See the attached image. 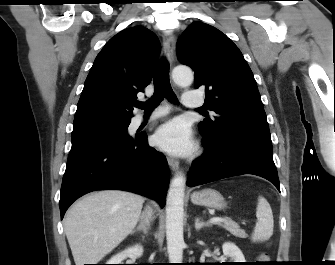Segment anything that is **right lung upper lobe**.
Segmentation results:
<instances>
[{
  "mask_svg": "<svg viewBox=\"0 0 335 265\" xmlns=\"http://www.w3.org/2000/svg\"><path fill=\"white\" fill-rule=\"evenodd\" d=\"M160 51L157 36L142 26L112 37L97 55L79 99L74 126L130 122L137 93L150 84Z\"/></svg>",
  "mask_w": 335,
  "mask_h": 265,
  "instance_id": "obj_1",
  "label": "right lung upper lobe"
}]
</instances>
